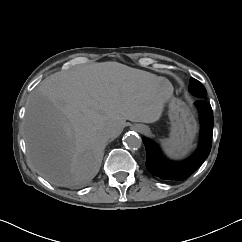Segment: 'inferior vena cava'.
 <instances>
[{"label":"inferior vena cava","mask_w":242,"mask_h":242,"mask_svg":"<svg viewBox=\"0 0 242 242\" xmlns=\"http://www.w3.org/2000/svg\"><path fill=\"white\" fill-rule=\"evenodd\" d=\"M121 130L122 127L118 122H112L107 128V135L111 139H116L119 137Z\"/></svg>","instance_id":"1"}]
</instances>
